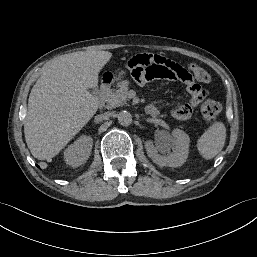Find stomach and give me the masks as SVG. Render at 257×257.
I'll use <instances>...</instances> for the list:
<instances>
[{
	"instance_id": "0dacf381",
	"label": "stomach",
	"mask_w": 257,
	"mask_h": 257,
	"mask_svg": "<svg viewBox=\"0 0 257 257\" xmlns=\"http://www.w3.org/2000/svg\"><path fill=\"white\" fill-rule=\"evenodd\" d=\"M124 76H125V72L121 71V72H119L118 76L116 77V80H121L124 78Z\"/></svg>"
}]
</instances>
